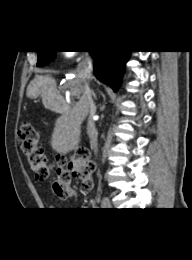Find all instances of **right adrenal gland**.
I'll use <instances>...</instances> for the list:
<instances>
[{"label":"right adrenal gland","instance_id":"2a0ac1e0","mask_svg":"<svg viewBox=\"0 0 192 260\" xmlns=\"http://www.w3.org/2000/svg\"><path fill=\"white\" fill-rule=\"evenodd\" d=\"M92 95H93V97H94L95 99H97L96 94L94 93V91H92Z\"/></svg>","mask_w":192,"mask_h":260}]
</instances>
